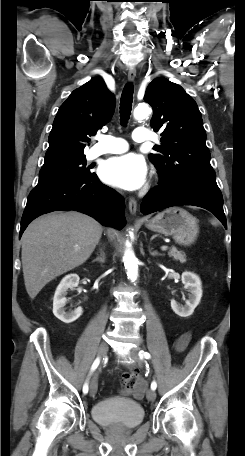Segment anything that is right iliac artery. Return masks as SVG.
<instances>
[{"label": "right iliac artery", "mask_w": 245, "mask_h": 456, "mask_svg": "<svg viewBox=\"0 0 245 456\" xmlns=\"http://www.w3.org/2000/svg\"><path fill=\"white\" fill-rule=\"evenodd\" d=\"M100 363V359L99 358H96V360L93 362L92 364V367H91V372H93L99 365ZM88 383L87 381L85 382L84 386H83V392L86 394L88 393Z\"/></svg>", "instance_id": "1"}]
</instances>
